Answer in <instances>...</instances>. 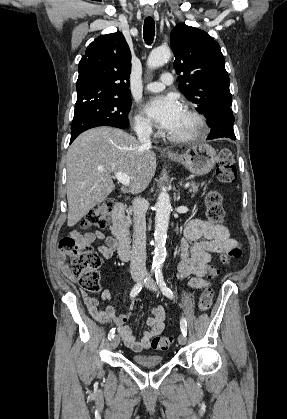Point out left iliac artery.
I'll return each mask as SVG.
<instances>
[{
    "mask_svg": "<svg viewBox=\"0 0 287 419\" xmlns=\"http://www.w3.org/2000/svg\"><path fill=\"white\" fill-rule=\"evenodd\" d=\"M155 278L163 294L171 300L174 299V294L172 290L167 287L161 270L155 271ZM180 328H181L182 334L186 336L187 335V322L184 318H181L180 320Z\"/></svg>",
    "mask_w": 287,
    "mask_h": 419,
    "instance_id": "44dca946",
    "label": "left iliac artery"
}]
</instances>
